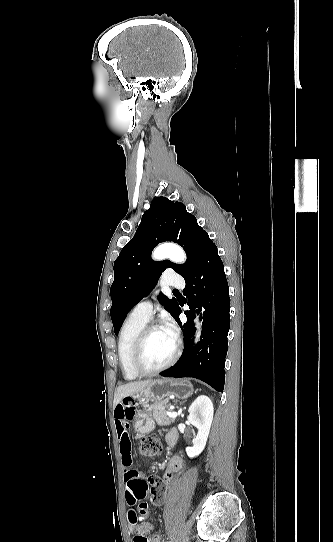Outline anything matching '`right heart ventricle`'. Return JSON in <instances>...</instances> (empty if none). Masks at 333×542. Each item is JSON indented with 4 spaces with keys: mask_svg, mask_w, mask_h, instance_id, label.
<instances>
[{
    "mask_svg": "<svg viewBox=\"0 0 333 542\" xmlns=\"http://www.w3.org/2000/svg\"><path fill=\"white\" fill-rule=\"evenodd\" d=\"M146 324L147 321L129 317L120 331L118 339L119 365L123 377L127 380H134L139 377L131 366V350L138 334Z\"/></svg>",
    "mask_w": 333,
    "mask_h": 542,
    "instance_id": "e07e8e85",
    "label": "right heart ventricle"
}]
</instances>
